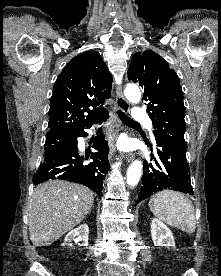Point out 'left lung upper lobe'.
<instances>
[{
    "instance_id": "5c2ea615",
    "label": "left lung upper lobe",
    "mask_w": 221,
    "mask_h": 276,
    "mask_svg": "<svg viewBox=\"0 0 221 276\" xmlns=\"http://www.w3.org/2000/svg\"><path fill=\"white\" fill-rule=\"evenodd\" d=\"M128 79L144 90L143 99L147 101L155 138L171 140L186 148L183 91L179 77L166 60L151 50L138 52L131 59Z\"/></svg>"
}]
</instances>
